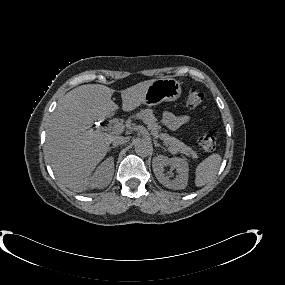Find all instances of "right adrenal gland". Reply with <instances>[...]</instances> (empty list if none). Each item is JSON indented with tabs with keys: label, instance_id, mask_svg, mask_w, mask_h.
<instances>
[{
	"label": "right adrenal gland",
	"instance_id": "obj_1",
	"mask_svg": "<svg viewBox=\"0 0 285 285\" xmlns=\"http://www.w3.org/2000/svg\"><path fill=\"white\" fill-rule=\"evenodd\" d=\"M117 146L116 145H113L111 147H109V151L112 149V148H116Z\"/></svg>",
	"mask_w": 285,
	"mask_h": 285
}]
</instances>
